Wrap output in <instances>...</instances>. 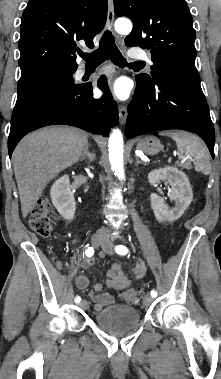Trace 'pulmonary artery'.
I'll use <instances>...</instances> for the list:
<instances>
[{"mask_svg": "<svg viewBox=\"0 0 221 379\" xmlns=\"http://www.w3.org/2000/svg\"><path fill=\"white\" fill-rule=\"evenodd\" d=\"M129 56L133 59H144V60H149L147 54L142 51V50H136V49H132L129 51ZM150 61V60H149ZM151 62V61H150ZM85 74V71L84 70H79L78 71V75L79 76H83Z\"/></svg>", "mask_w": 221, "mask_h": 379, "instance_id": "1", "label": "pulmonary artery"}]
</instances>
